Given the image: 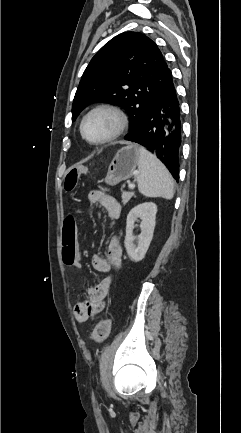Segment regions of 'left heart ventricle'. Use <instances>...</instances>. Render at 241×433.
Instances as JSON below:
<instances>
[{
	"label": "left heart ventricle",
	"mask_w": 241,
	"mask_h": 433,
	"mask_svg": "<svg viewBox=\"0 0 241 433\" xmlns=\"http://www.w3.org/2000/svg\"><path fill=\"white\" fill-rule=\"evenodd\" d=\"M114 117L106 112L92 115L84 125V134L91 141H97L108 136L115 128Z\"/></svg>",
	"instance_id": "b2bd125f"
}]
</instances>
